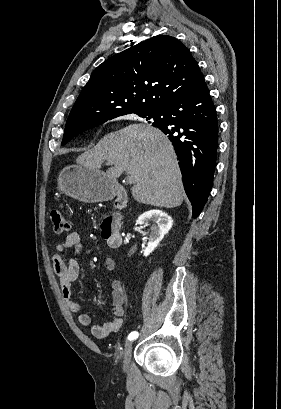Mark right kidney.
<instances>
[{"label":"right kidney","mask_w":281,"mask_h":409,"mask_svg":"<svg viewBox=\"0 0 281 409\" xmlns=\"http://www.w3.org/2000/svg\"><path fill=\"white\" fill-rule=\"evenodd\" d=\"M149 221H153L155 225H151V233L149 237H145V239H149V241L144 251V257H148V255L158 247L164 235H167L173 225L171 217H169L167 213H163V211H158V209H151V211H146V213L140 215L136 221V225H148ZM143 235H147V233H143Z\"/></svg>","instance_id":"obj_1"}]
</instances>
